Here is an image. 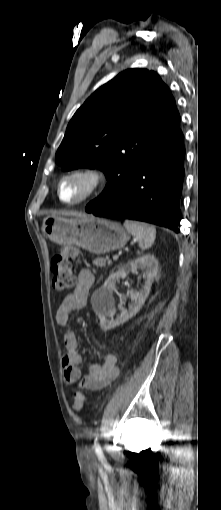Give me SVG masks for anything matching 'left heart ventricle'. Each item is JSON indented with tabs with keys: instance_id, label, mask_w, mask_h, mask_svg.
Returning a JSON list of instances; mask_svg holds the SVG:
<instances>
[{
	"instance_id": "obj_1",
	"label": "left heart ventricle",
	"mask_w": 221,
	"mask_h": 510,
	"mask_svg": "<svg viewBox=\"0 0 221 510\" xmlns=\"http://www.w3.org/2000/svg\"><path fill=\"white\" fill-rule=\"evenodd\" d=\"M87 185L84 180L74 178L67 181L62 188V198L65 201H74L80 198L86 191Z\"/></svg>"
}]
</instances>
